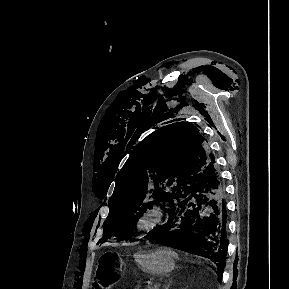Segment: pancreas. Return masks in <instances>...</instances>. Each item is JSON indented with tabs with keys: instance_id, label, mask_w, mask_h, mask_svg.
<instances>
[{
	"instance_id": "1",
	"label": "pancreas",
	"mask_w": 289,
	"mask_h": 289,
	"mask_svg": "<svg viewBox=\"0 0 289 289\" xmlns=\"http://www.w3.org/2000/svg\"><path fill=\"white\" fill-rule=\"evenodd\" d=\"M147 289H158L156 286H148Z\"/></svg>"
}]
</instances>
